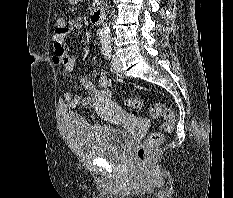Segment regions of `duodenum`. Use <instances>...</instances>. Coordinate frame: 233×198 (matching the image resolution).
I'll list each match as a JSON object with an SVG mask.
<instances>
[{
  "instance_id": "410a0bca",
  "label": "duodenum",
  "mask_w": 233,
  "mask_h": 198,
  "mask_svg": "<svg viewBox=\"0 0 233 198\" xmlns=\"http://www.w3.org/2000/svg\"><path fill=\"white\" fill-rule=\"evenodd\" d=\"M104 15H105L104 7L103 6L96 7L90 15V22L95 25L99 24L104 19Z\"/></svg>"
}]
</instances>
